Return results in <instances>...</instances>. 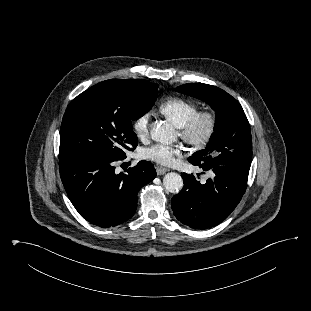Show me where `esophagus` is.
Masks as SVG:
<instances>
[{
    "instance_id": "1",
    "label": "esophagus",
    "mask_w": 311,
    "mask_h": 311,
    "mask_svg": "<svg viewBox=\"0 0 311 311\" xmlns=\"http://www.w3.org/2000/svg\"><path fill=\"white\" fill-rule=\"evenodd\" d=\"M167 171H168L167 168L160 167V166L156 167V173H157V175H163V174H165Z\"/></svg>"
}]
</instances>
